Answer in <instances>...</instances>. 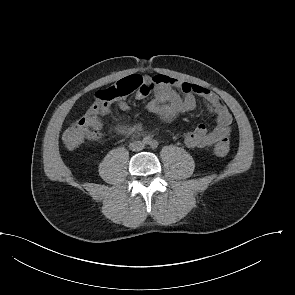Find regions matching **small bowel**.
Instances as JSON below:
<instances>
[{
  "instance_id": "small-bowel-1",
  "label": "small bowel",
  "mask_w": 295,
  "mask_h": 295,
  "mask_svg": "<svg viewBox=\"0 0 295 295\" xmlns=\"http://www.w3.org/2000/svg\"><path fill=\"white\" fill-rule=\"evenodd\" d=\"M152 94L148 102V110L165 122H171L180 115L193 111L197 106V97L203 99L210 113L216 116L217 125L209 130L206 125L199 124L184 136V143L188 148H207L217 146L223 142L229 143V135L233 118L227 106L220 97L208 88L182 81L167 75L158 74L145 77L143 86L137 91L136 97L143 99ZM119 109L126 111L130 107L124 101L118 102ZM111 107L106 110L110 111ZM101 121L98 125L100 135ZM127 133L141 131L139 125L124 128Z\"/></svg>"
}]
</instances>
